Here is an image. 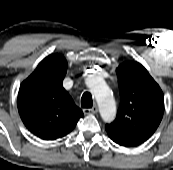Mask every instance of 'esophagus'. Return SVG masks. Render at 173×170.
<instances>
[{"label": "esophagus", "mask_w": 173, "mask_h": 170, "mask_svg": "<svg viewBox=\"0 0 173 170\" xmlns=\"http://www.w3.org/2000/svg\"><path fill=\"white\" fill-rule=\"evenodd\" d=\"M84 114H96L98 112V107L95 105L90 109H83Z\"/></svg>", "instance_id": "esophagus-1"}]
</instances>
